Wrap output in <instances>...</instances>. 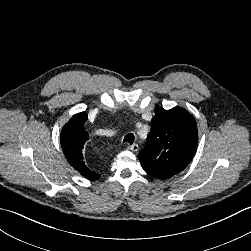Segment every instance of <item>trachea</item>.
<instances>
[{"label": "trachea", "instance_id": "3493384b", "mask_svg": "<svg viewBox=\"0 0 251 251\" xmlns=\"http://www.w3.org/2000/svg\"><path fill=\"white\" fill-rule=\"evenodd\" d=\"M134 139H135L134 134L129 133V134H127V135L124 137L123 142L132 144V143L134 142Z\"/></svg>", "mask_w": 251, "mask_h": 251}]
</instances>
